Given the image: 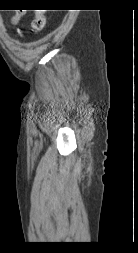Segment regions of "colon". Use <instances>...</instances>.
Wrapping results in <instances>:
<instances>
[{"label": "colon", "instance_id": "1", "mask_svg": "<svg viewBox=\"0 0 138 253\" xmlns=\"http://www.w3.org/2000/svg\"><path fill=\"white\" fill-rule=\"evenodd\" d=\"M46 25V16L42 11H37L35 19L32 23V28L34 31L39 32L43 30Z\"/></svg>", "mask_w": 138, "mask_h": 253}]
</instances>
